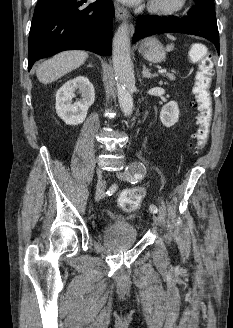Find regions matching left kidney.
<instances>
[{"label": "left kidney", "mask_w": 233, "mask_h": 328, "mask_svg": "<svg viewBox=\"0 0 233 328\" xmlns=\"http://www.w3.org/2000/svg\"><path fill=\"white\" fill-rule=\"evenodd\" d=\"M179 113L178 103L170 101L162 107L160 120L165 127H172L178 122Z\"/></svg>", "instance_id": "1"}]
</instances>
